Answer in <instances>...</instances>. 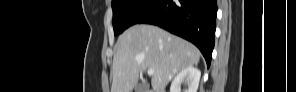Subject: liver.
I'll return each instance as SVG.
<instances>
[{"instance_id": "obj_1", "label": "liver", "mask_w": 296, "mask_h": 92, "mask_svg": "<svg viewBox=\"0 0 296 92\" xmlns=\"http://www.w3.org/2000/svg\"><path fill=\"white\" fill-rule=\"evenodd\" d=\"M200 55L196 46L159 27L134 25L117 40L111 92H131L146 69L154 70V92H164L178 71L199 63Z\"/></svg>"}]
</instances>
